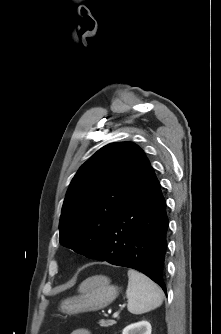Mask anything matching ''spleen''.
Segmentation results:
<instances>
[{
    "label": "spleen",
    "mask_w": 221,
    "mask_h": 334,
    "mask_svg": "<svg viewBox=\"0 0 221 334\" xmlns=\"http://www.w3.org/2000/svg\"><path fill=\"white\" fill-rule=\"evenodd\" d=\"M126 297L128 311L132 314H143L159 307L163 302V292L144 274L129 269Z\"/></svg>",
    "instance_id": "spleen-1"
}]
</instances>
